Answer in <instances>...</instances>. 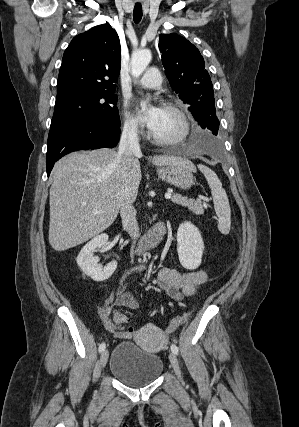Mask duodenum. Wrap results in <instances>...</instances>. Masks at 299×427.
<instances>
[{"instance_id": "410a0bca", "label": "duodenum", "mask_w": 299, "mask_h": 427, "mask_svg": "<svg viewBox=\"0 0 299 427\" xmlns=\"http://www.w3.org/2000/svg\"><path fill=\"white\" fill-rule=\"evenodd\" d=\"M168 227L169 223L164 221L154 223L146 236L137 242V252L142 255L154 249L161 242Z\"/></svg>"}]
</instances>
